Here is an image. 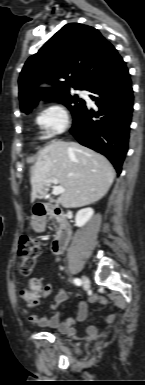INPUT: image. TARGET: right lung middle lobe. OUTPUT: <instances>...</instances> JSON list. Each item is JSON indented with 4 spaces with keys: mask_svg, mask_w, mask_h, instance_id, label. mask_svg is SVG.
<instances>
[{
    "mask_svg": "<svg viewBox=\"0 0 145 385\" xmlns=\"http://www.w3.org/2000/svg\"><path fill=\"white\" fill-rule=\"evenodd\" d=\"M55 99H59L62 101L64 105H66L69 110L72 112V115H74L84 106L85 101L79 98L77 95L72 97L70 95V92L63 94ZM31 110L26 111V113H29Z\"/></svg>",
    "mask_w": 145,
    "mask_h": 385,
    "instance_id": "1",
    "label": "right lung middle lobe"
}]
</instances>
